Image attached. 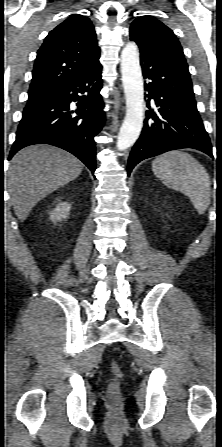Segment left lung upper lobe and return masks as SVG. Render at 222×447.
<instances>
[{
    "mask_svg": "<svg viewBox=\"0 0 222 447\" xmlns=\"http://www.w3.org/2000/svg\"><path fill=\"white\" fill-rule=\"evenodd\" d=\"M130 38L138 45L147 47L172 60L189 73L178 39L172 30L162 22L151 16L139 17L131 24Z\"/></svg>",
    "mask_w": 222,
    "mask_h": 447,
    "instance_id": "left-lung-upper-lobe-1",
    "label": "left lung upper lobe"
}]
</instances>
